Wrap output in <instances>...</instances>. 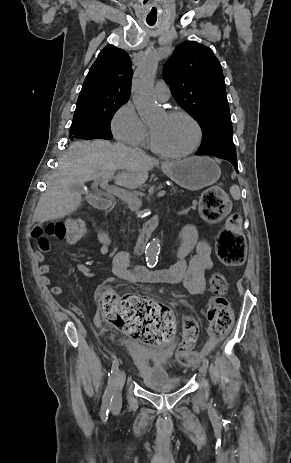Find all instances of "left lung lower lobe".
<instances>
[{
    "instance_id": "left-lung-lower-lobe-1",
    "label": "left lung lower lobe",
    "mask_w": 291,
    "mask_h": 463,
    "mask_svg": "<svg viewBox=\"0 0 291 463\" xmlns=\"http://www.w3.org/2000/svg\"><path fill=\"white\" fill-rule=\"evenodd\" d=\"M196 155H210L215 156L224 160L229 161L234 166L235 170L238 172V165H237V158L236 154H223V153H216V152H206V151H198Z\"/></svg>"
}]
</instances>
